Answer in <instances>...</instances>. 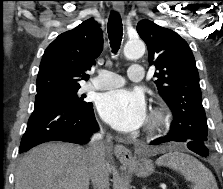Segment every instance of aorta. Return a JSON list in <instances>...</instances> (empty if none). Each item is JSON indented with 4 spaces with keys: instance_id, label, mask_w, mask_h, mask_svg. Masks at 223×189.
<instances>
[{
    "instance_id": "1",
    "label": "aorta",
    "mask_w": 223,
    "mask_h": 189,
    "mask_svg": "<svg viewBox=\"0 0 223 189\" xmlns=\"http://www.w3.org/2000/svg\"><path fill=\"white\" fill-rule=\"evenodd\" d=\"M123 52L128 60L139 59L145 53V44L139 39L130 40L125 44Z\"/></svg>"
}]
</instances>
